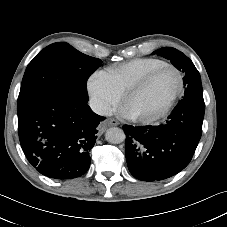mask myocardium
Masks as SVG:
<instances>
[{
  "instance_id": "obj_1",
  "label": "myocardium",
  "mask_w": 227,
  "mask_h": 227,
  "mask_svg": "<svg viewBox=\"0 0 227 227\" xmlns=\"http://www.w3.org/2000/svg\"><path fill=\"white\" fill-rule=\"evenodd\" d=\"M166 69H172L174 70L179 78V85L177 88V91L175 92V94L173 95V97L170 99V101L166 104V106L157 114L154 115H150V116H137V115H132V119L138 122H144V123H153L156 122L158 120H160L161 118H163L164 116H166L168 114V112L171 110V108L174 106V104L176 103V101L178 100V98L181 96L183 90H184V77L182 72L180 71V69H178L176 66L171 65V64H167L164 65L162 67H159L155 70H153L152 72H150L149 74H147L145 77H143L140 81H138L136 84H134L132 87H130L123 95V104L126 106V103L128 102V100L133 97L134 95H136L137 93L141 92L144 88H146L151 81L162 71L166 70Z\"/></svg>"
}]
</instances>
